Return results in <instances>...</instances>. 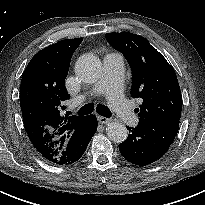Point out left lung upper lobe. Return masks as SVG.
Wrapping results in <instances>:
<instances>
[{
    "mask_svg": "<svg viewBox=\"0 0 205 205\" xmlns=\"http://www.w3.org/2000/svg\"><path fill=\"white\" fill-rule=\"evenodd\" d=\"M106 38L131 67V96L143 99L140 109H136L139 121H179L181 91L176 73L163 55L140 35L107 33Z\"/></svg>",
    "mask_w": 205,
    "mask_h": 205,
    "instance_id": "left-lung-upper-lobe-1",
    "label": "left lung upper lobe"
}]
</instances>
